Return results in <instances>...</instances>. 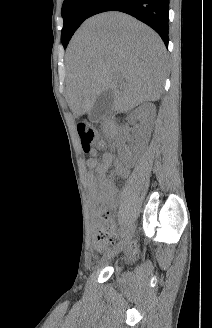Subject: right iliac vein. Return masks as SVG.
<instances>
[{"mask_svg": "<svg viewBox=\"0 0 212 328\" xmlns=\"http://www.w3.org/2000/svg\"><path fill=\"white\" fill-rule=\"evenodd\" d=\"M133 226H130L127 231L124 233L122 240L119 242V244L111 251L108 253L107 257L111 258L119 254L121 251L125 249L127 246L132 234H133Z\"/></svg>", "mask_w": 212, "mask_h": 328, "instance_id": "1", "label": "right iliac vein"}]
</instances>
